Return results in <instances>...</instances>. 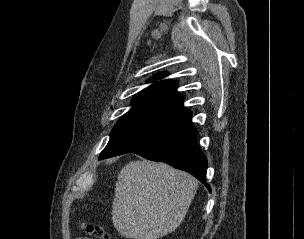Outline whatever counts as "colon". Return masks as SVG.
I'll return each mask as SVG.
<instances>
[{
	"label": "colon",
	"instance_id": "obj_1",
	"mask_svg": "<svg viewBox=\"0 0 304 239\" xmlns=\"http://www.w3.org/2000/svg\"><path fill=\"white\" fill-rule=\"evenodd\" d=\"M83 228L85 232L96 239H110V236L98 225L84 224Z\"/></svg>",
	"mask_w": 304,
	"mask_h": 239
}]
</instances>
